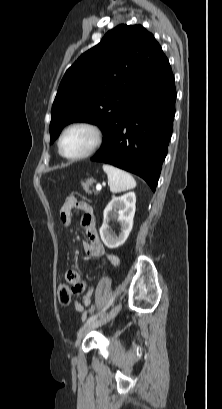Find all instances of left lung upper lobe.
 I'll use <instances>...</instances> for the list:
<instances>
[{"label":"left lung upper lobe","instance_id":"left-lung-upper-lobe-1","mask_svg":"<svg viewBox=\"0 0 222 409\" xmlns=\"http://www.w3.org/2000/svg\"><path fill=\"white\" fill-rule=\"evenodd\" d=\"M171 71L154 36L141 25H119L66 71L52 106L50 143L71 122L103 134L130 101Z\"/></svg>","mask_w":222,"mask_h":409}]
</instances>
